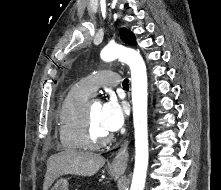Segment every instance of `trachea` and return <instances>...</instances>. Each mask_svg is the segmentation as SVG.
Here are the masks:
<instances>
[{
    "instance_id": "3493384b",
    "label": "trachea",
    "mask_w": 221,
    "mask_h": 190,
    "mask_svg": "<svg viewBox=\"0 0 221 190\" xmlns=\"http://www.w3.org/2000/svg\"><path fill=\"white\" fill-rule=\"evenodd\" d=\"M123 87L125 88V89H128L129 88V80L128 79H125L124 81H123Z\"/></svg>"
}]
</instances>
